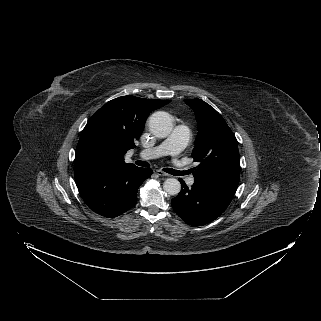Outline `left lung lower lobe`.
Returning <instances> with one entry per match:
<instances>
[{
  "mask_svg": "<svg viewBox=\"0 0 321 321\" xmlns=\"http://www.w3.org/2000/svg\"><path fill=\"white\" fill-rule=\"evenodd\" d=\"M182 189L171 204L176 214L192 226L205 225L219 217L230 204L239 184V177L211 176L195 178L188 188L179 179Z\"/></svg>",
  "mask_w": 321,
  "mask_h": 321,
  "instance_id": "1",
  "label": "left lung lower lobe"
}]
</instances>
